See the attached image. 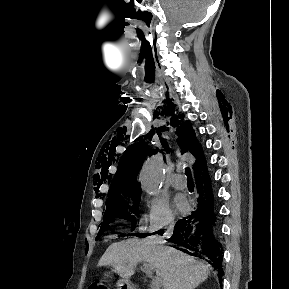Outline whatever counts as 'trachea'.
Listing matches in <instances>:
<instances>
[{
  "label": "trachea",
  "instance_id": "trachea-1",
  "mask_svg": "<svg viewBox=\"0 0 289 289\" xmlns=\"http://www.w3.org/2000/svg\"><path fill=\"white\" fill-rule=\"evenodd\" d=\"M185 174L187 176V180L192 181V175H191V171L189 168H185Z\"/></svg>",
  "mask_w": 289,
  "mask_h": 289
}]
</instances>
